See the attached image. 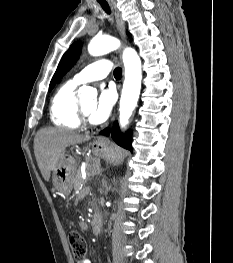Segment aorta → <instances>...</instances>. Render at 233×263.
Wrapping results in <instances>:
<instances>
[{
	"instance_id": "762f6f07",
	"label": "aorta",
	"mask_w": 233,
	"mask_h": 263,
	"mask_svg": "<svg viewBox=\"0 0 233 263\" xmlns=\"http://www.w3.org/2000/svg\"><path fill=\"white\" fill-rule=\"evenodd\" d=\"M120 41L111 36L94 37L89 45L88 52L92 56H100L118 49ZM123 63L125 66V80L123 84L121 99H120V116L119 123L124 128L131 117L139 98L141 89V60L137 52L132 48H126L123 51ZM80 102H86L90 98L96 96V91L89 86H82L79 89Z\"/></svg>"
}]
</instances>
